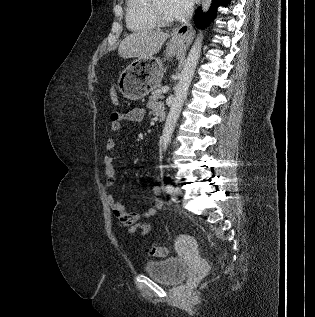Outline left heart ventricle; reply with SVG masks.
I'll return each instance as SVG.
<instances>
[{
    "label": "left heart ventricle",
    "mask_w": 315,
    "mask_h": 317,
    "mask_svg": "<svg viewBox=\"0 0 315 317\" xmlns=\"http://www.w3.org/2000/svg\"><path fill=\"white\" fill-rule=\"evenodd\" d=\"M156 7L160 14L166 19H172L167 9V0H155Z\"/></svg>",
    "instance_id": "1"
}]
</instances>
